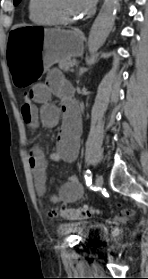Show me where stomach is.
<instances>
[{
  "label": "stomach",
  "instance_id": "1",
  "mask_svg": "<svg viewBox=\"0 0 148 279\" xmlns=\"http://www.w3.org/2000/svg\"><path fill=\"white\" fill-rule=\"evenodd\" d=\"M6 43L8 49H26L5 50L8 78H13L17 91L36 87L53 63L83 53L79 31L47 30L46 25H19L9 30Z\"/></svg>",
  "mask_w": 148,
  "mask_h": 279
}]
</instances>
